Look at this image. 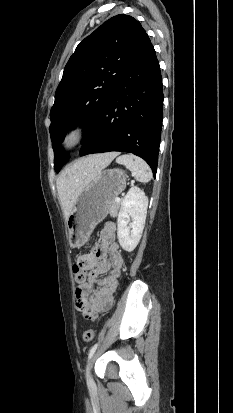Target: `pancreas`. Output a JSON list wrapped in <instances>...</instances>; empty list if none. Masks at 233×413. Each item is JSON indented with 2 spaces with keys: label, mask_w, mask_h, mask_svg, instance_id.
<instances>
[{
  "label": "pancreas",
  "mask_w": 233,
  "mask_h": 413,
  "mask_svg": "<svg viewBox=\"0 0 233 413\" xmlns=\"http://www.w3.org/2000/svg\"><path fill=\"white\" fill-rule=\"evenodd\" d=\"M120 205H121L120 202H115V201H113V202L111 203V205H110V207H109V214H110V216H112V217H116V216H117V213H118V210H119V208H120Z\"/></svg>",
  "instance_id": "1"
}]
</instances>
